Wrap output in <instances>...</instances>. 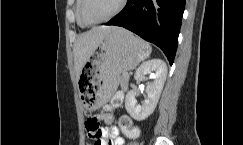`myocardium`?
<instances>
[{
  "mask_svg": "<svg viewBox=\"0 0 243 145\" xmlns=\"http://www.w3.org/2000/svg\"><path fill=\"white\" fill-rule=\"evenodd\" d=\"M85 3H86V0H80V10H79L80 19L86 26H95V25H98V24L105 23V22L111 20L112 18L116 17L118 14H120L124 10V8L126 7L128 0H121L119 6L117 7V9L113 13H111L106 18H104L100 21H97V22H93V23L88 22L85 18V14H84Z\"/></svg>",
  "mask_w": 243,
  "mask_h": 145,
  "instance_id": "1",
  "label": "myocardium"
}]
</instances>
